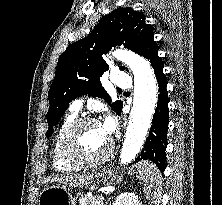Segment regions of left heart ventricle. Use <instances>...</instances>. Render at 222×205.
<instances>
[{"label":"left heart ventricle","instance_id":"b2bd125f","mask_svg":"<svg viewBox=\"0 0 222 205\" xmlns=\"http://www.w3.org/2000/svg\"><path fill=\"white\" fill-rule=\"evenodd\" d=\"M109 137L98 123H89L81 127L72 139V148L84 158L101 155L107 148Z\"/></svg>","mask_w":222,"mask_h":205}]
</instances>
